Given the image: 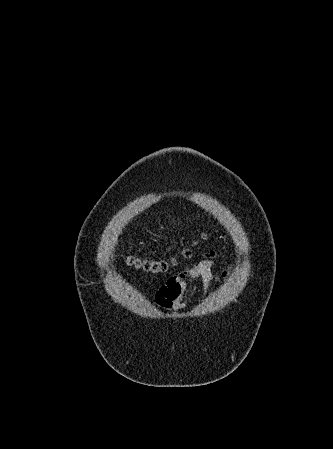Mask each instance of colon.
I'll list each match as a JSON object with an SVG mask.
<instances>
[{"mask_svg":"<svg viewBox=\"0 0 333 449\" xmlns=\"http://www.w3.org/2000/svg\"><path fill=\"white\" fill-rule=\"evenodd\" d=\"M202 238H205L203 235ZM182 256L189 258L192 254V248L186 247L181 252ZM130 266L140 269L146 273H163L167 271L169 262L163 259H142L135 256L128 257L127 260Z\"/></svg>","mask_w":333,"mask_h":449,"instance_id":"1","label":"colon"}]
</instances>
